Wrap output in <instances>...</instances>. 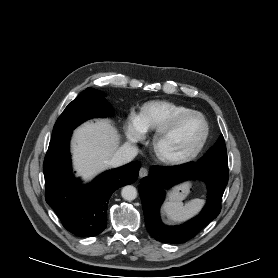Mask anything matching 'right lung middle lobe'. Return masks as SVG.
Listing matches in <instances>:
<instances>
[{
  "label": "right lung middle lobe",
  "mask_w": 278,
  "mask_h": 278,
  "mask_svg": "<svg viewBox=\"0 0 278 278\" xmlns=\"http://www.w3.org/2000/svg\"><path fill=\"white\" fill-rule=\"evenodd\" d=\"M105 94L93 88H87L79 94L57 119L52 133V138L71 132L82 122L94 118L105 117L112 114Z\"/></svg>",
  "instance_id": "right-lung-middle-lobe-1"
}]
</instances>
